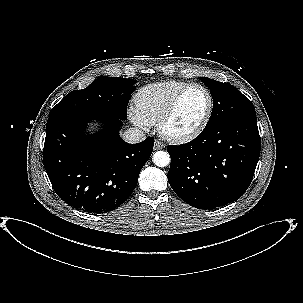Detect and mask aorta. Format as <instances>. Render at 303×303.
Returning a JSON list of instances; mask_svg holds the SVG:
<instances>
[{"label":"aorta","mask_w":303,"mask_h":303,"mask_svg":"<svg viewBox=\"0 0 303 303\" xmlns=\"http://www.w3.org/2000/svg\"><path fill=\"white\" fill-rule=\"evenodd\" d=\"M153 163L158 167H165L170 163V155L165 151H157L153 155Z\"/></svg>","instance_id":"1"}]
</instances>
